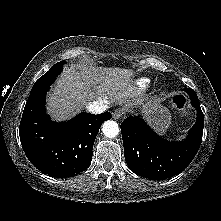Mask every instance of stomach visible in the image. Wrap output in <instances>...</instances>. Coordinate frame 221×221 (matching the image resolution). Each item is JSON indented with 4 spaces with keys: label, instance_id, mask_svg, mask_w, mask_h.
<instances>
[{
    "label": "stomach",
    "instance_id": "stomach-1",
    "mask_svg": "<svg viewBox=\"0 0 221 221\" xmlns=\"http://www.w3.org/2000/svg\"><path fill=\"white\" fill-rule=\"evenodd\" d=\"M144 116L148 123L160 134H164L170 123L171 115L169 110L160 104L148 103L144 106Z\"/></svg>",
    "mask_w": 221,
    "mask_h": 221
}]
</instances>
